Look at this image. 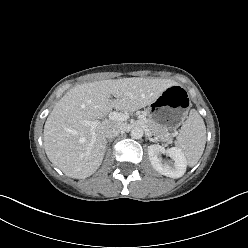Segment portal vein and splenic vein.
<instances>
[{
	"instance_id": "obj_1",
	"label": "portal vein and splenic vein",
	"mask_w": 248,
	"mask_h": 248,
	"mask_svg": "<svg viewBox=\"0 0 248 248\" xmlns=\"http://www.w3.org/2000/svg\"><path fill=\"white\" fill-rule=\"evenodd\" d=\"M108 117L110 120H113V121H125V120H127V116L125 114L118 113V112H110ZM139 119L141 121H146V117L144 115H140ZM81 123L83 125L89 126L91 128V130L93 131L101 123V121H99V120H94V121L83 120V121H81Z\"/></svg>"
}]
</instances>
